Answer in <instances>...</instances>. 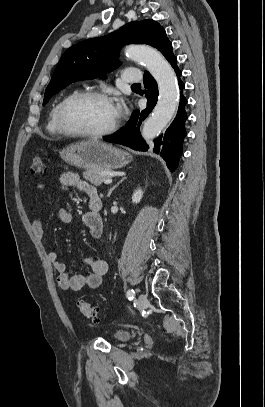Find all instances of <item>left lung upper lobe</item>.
<instances>
[{"mask_svg":"<svg viewBox=\"0 0 265 407\" xmlns=\"http://www.w3.org/2000/svg\"><path fill=\"white\" fill-rule=\"evenodd\" d=\"M130 43L155 47L169 63L176 58L160 24L153 20L130 22L109 35L88 39L67 49L46 88L43 105L72 82L103 77L105 72L118 67V52Z\"/></svg>","mask_w":265,"mask_h":407,"instance_id":"left-lung-upper-lobe-1","label":"left lung upper lobe"}]
</instances>
